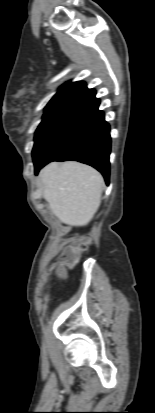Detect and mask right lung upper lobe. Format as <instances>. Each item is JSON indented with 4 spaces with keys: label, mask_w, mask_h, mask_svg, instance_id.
Masks as SVG:
<instances>
[{
    "label": "right lung upper lobe",
    "mask_w": 155,
    "mask_h": 413,
    "mask_svg": "<svg viewBox=\"0 0 155 413\" xmlns=\"http://www.w3.org/2000/svg\"><path fill=\"white\" fill-rule=\"evenodd\" d=\"M96 91L88 89L83 81L67 82L63 84L44 109V115L58 109L71 106H80L94 97Z\"/></svg>",
    "instance_id": "right-lung-upper-lobe-1"
}]
</instances>
